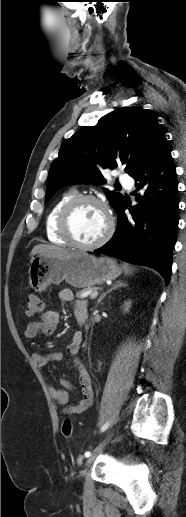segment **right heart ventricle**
Returning <instances> with one entry per match:
<instances>
[{"label": "right heart ventricle", "mask_w": 186, "mask_h": 517, "mask_svg": "<svg viewBox=\"0 0 186 517\" xmlns=\"http://www.w3.org/2000/svg\"><path fill=\"white\" fill-rule=\"evenodd\" d=\"M76 196L73 190L63 193L50 207L45 217V234L55 244L66 245L68 242L60 235L58 219L64 206Z\"/></svg>", "instance_id": "1"}]
</instances>
